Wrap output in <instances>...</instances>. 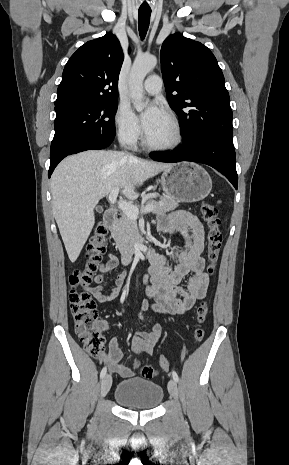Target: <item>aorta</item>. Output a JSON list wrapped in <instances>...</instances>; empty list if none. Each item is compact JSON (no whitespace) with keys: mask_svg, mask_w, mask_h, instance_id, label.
Returning <instances> with one entry per match:
<instances>
[{"mask_svg":"<svg viewBox=\"0 0 289 465\" xmlns=\"http://www.w3.org/2000/svg\"><path fill=\"white\" fill-rule=\"evenodd\" d=\"M156 64L157 58L153 55L139 56L134 60L129 78V91L137 111H142L145 107L143 81Z\"/></svg>","mask_w":289,"mask_h":465,"instance_id":"aorta-1","label":"aorta"}]
</instances>
